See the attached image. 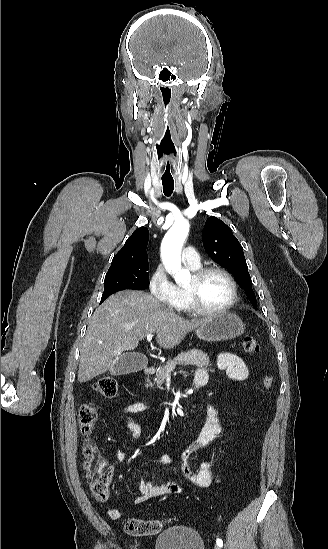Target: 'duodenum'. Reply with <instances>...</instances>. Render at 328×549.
Returning <instances> with one entry per match:
<instances>
[{
  "instance_id": "duodenum-1",
  "label": "duodenum",
  "mask_w": 328,
  "mask_h": 549,
  "mask_svg": "<svg viewBox=\"0 0 328 549\" xmlns=\"http://www.w3.org/2000/svg\"><path fill=\"white\" fill-rule=\"evenodd\" d=\"M154 372H155V368L153 366H146L144 368V373L148 376L152 375ZM205 383H206V377H204V376L195 377L194 385H195L196 388H200V387L204 386Z\"/></svg>"
}]
</instances>
